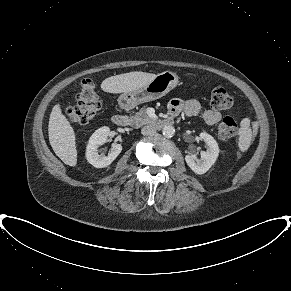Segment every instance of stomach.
Wrapping results in <instances>:
<instances>
[{"mask_svg": "<svg viewBox=\"0 0 291 291\" xmlns=\"http://www.w3.org/2000/svg\"><path fill=\"white\" fill-rule=\"evenodd\" d=\"M179 77L171 71L162 72L147 85L131 92H125L118 98L121 108L129 110L135 106L159 99L178 85Z\"/></svg>", "mask_w": 291, "mask_h": 291, "instance_id": "obj_1", "label": "stomach"}]
</instances>
